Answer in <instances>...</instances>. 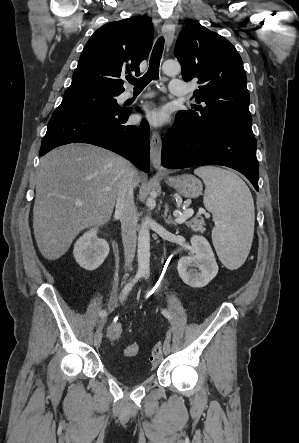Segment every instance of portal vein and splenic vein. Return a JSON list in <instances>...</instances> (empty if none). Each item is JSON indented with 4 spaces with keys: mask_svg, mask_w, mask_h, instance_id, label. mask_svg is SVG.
Segmentation results:
<instances>
[{
    "mask_svg": "<svg viewBox=\"0 0 299 443\" xmlns=\"http://www.w3.org/2000/svg\"><path fill=\"white\" fill-rule=\"evenodd\" d=\"M76 205L81 206L82 203H81V202H76ZM202 213H205L204 210H200L198 214L200 215V214H202ZM193 214H194V211H193V210H186V211H184L182 214H178V215L176 216V222H177L178 224H182V223H184L188 218H190Z\"/></svg>",
    "mask_w": 299,
    "mask_h": 443,
    "instance_id": "1",
    "label": "portal vein and splenic vein"
}]
</instances>
